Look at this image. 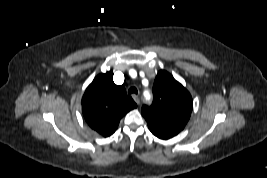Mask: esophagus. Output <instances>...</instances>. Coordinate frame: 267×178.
<instances>
[{
	"instance_id": "esophagus-1",
	"label": "esophagus",
	"mask_w": 267,
	"mask_h": 178,
	"mask_svg": "<svg viewBox=\"0 0 267 178\" xmlns=\"http://www.w3.org/2000/svg\"><path fill=\"white\" fill-rule=\"evenodd\" d=\"M132 97H133L134 101L136 102V104L139 105V104H140V99H139V97L136 96V95H133Z\"/></svg>"
}]
</instances>
